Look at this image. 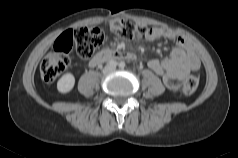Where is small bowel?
Masks as SVG:
<instances>
[{
	"label": "small bowel",
	"instance_id": "1",
	"mask_svg": "<svg viewBox=\"0 0 238 158\" xmlns=\"http://www.w3.org/2000/svg\"><path fill=\"white\" fill-rule=\"evenodd\" d=\"M160 38L175 42L176 47L169 57L163 60L156 58L149 60L148 66L161 77L167 88L176 90L186 76L199 67L200 62L193 47L174 31L167 28H152L151 33L147 35L148 40Z\"/></svg>",
	"mask_w": 238,
	"mask_h": 158
}]
</instances>
